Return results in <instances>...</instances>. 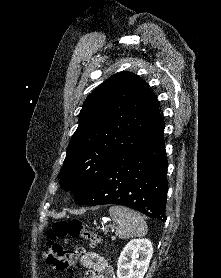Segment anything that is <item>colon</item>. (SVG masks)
Wrapping results in <instances>:
<instances>
[{
  "label": "colon",
  "instance_id": "colon-1",
  "mask_svg": "<svg viewBox=\"0 0 221 278\" xmlns=\"http://www.w3.org/2000/svg\"><path fill=\"white\" fill-rule=\"evenodd\" d=\"M82 238L93 245L100 243L97 233L87 229L80 220L56 222L47 232V262L57 270L73 272L79 251L65 247L56 242L63 237Z\"/></svg>",
  "mask_w": 221,
  "mask_h": 278
}]
</instances>
